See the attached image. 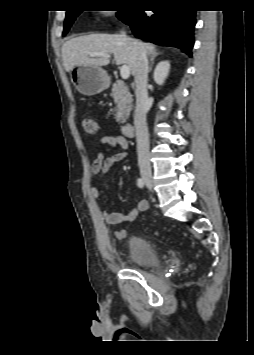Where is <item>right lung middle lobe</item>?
I'll return each instance as SVG.
<instances>
[{
	"instance_id": "obj_1",
	"label": "right lung middle lobe",
	"mask_w": 254,
	"mask_h": 355,
	"mask_svg": "<svg viewBox=\"0 0 254 355\" xmlns=\"http://www.w3.org/2000/svg\"><path fill=\"white\" fill-rule=\"evenodd\" d=\"M130 9H125V10H121L117 13V17L119 19L124 18L126 15H128V13L130 12ZM81 13V11H68L66 13V19H65V23H64V32L63 35H65L70 26L72 25V23L74 22L75 18Z\"/></svg>"
}]
</instances>
